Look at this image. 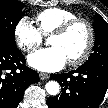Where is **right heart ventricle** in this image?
Returning a JSON list of instances; mask_svg holds the SVG:
<instances>
[{"label": "right heart ventricle", "mask_w": 108, "mask_h": 108, "mask_svg": "<svg viewBox=\"0 0 108 108\" xmlns=\"http://www.w3.org/2000/svg\"><path fill=\"white\" fill-rule=\"evenodd\" d=\"M77 17L76 14L64 8H48L35 17L38 30L42 35L51 34L56 28L66 21Z\"/></svg>", "instance_id": "obj_1"}]
</instances>
